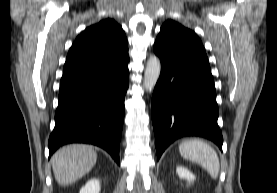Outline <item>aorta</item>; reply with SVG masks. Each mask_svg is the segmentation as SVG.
Here are the masks:
<instances>
[{"instance_id":"1","label":"aorta","mask_w":277,"mask_h":193,"mask_svg":"<svg viewBox=\"0 0 277 193\" xmlns=\"http://www.w3.org/2000/svg\"><path fill=\"white\" fill-rule=\"evenodd\" d=\"M161 72V63L158 57L150 56L147 61L143 86L146 91L151 92L155 87Z\"/></svg>"}]
</instances>
